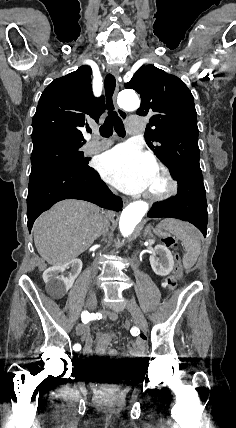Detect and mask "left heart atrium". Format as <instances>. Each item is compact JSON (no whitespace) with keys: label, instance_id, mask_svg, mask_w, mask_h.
I'll return each instance as SVG.
<instances>
[{"label":"left heart atrium","instance_id":"39dd6f15","mask_svg":"<svg viewBox=\"0 0 236 428\" xmlns=\"http://www.w3.org/2000/svg\"><path fill=\"white\" fill-rule=\"evenodd\" d=\"M99 170L103 179L119 190L141 194L150 184L155 163L141 150L122 144L103 155Z\"/></svg>","mask_w":236,"mask_h":428}]
</instances>
